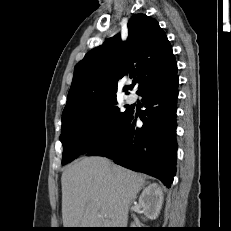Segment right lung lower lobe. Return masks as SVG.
<instances>
[{
	"label": "right lung lower lobe",
	"mask_w": 231,
	"mask_h": 231,
	"mask_svg": "<svg viewBox=\"0 0 231 231\" xmlns=\"http://www.w3.org/2000/svg\"><path fill=\"white\" fill-rule=\"evenodd\" d=\"M178 82L175 75L145 86L137 93L146 107L140 115L143 126H136L130 111L118 131L87 155L110 157L116 164L158 178L169 188L176 173Z\"/></svg>",
	"instance_id": "obj_1"
}]
</instances>
